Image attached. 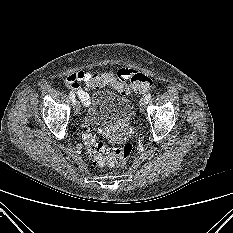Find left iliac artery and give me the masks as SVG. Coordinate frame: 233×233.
I'll use <instances>...</instances> for the list:
<instances>
[{
	"mask_svg": "<svg viewBox=\"0 0 233 233\" xmlns=\"http://www.w3.org/2000/svg\"><path fill=\"white\" fill-rule=\"evenodd\" d=\"M151 97H152V95L151 94H147L146 96H145V101H146V103H148L149 102V100L151 99Z\"/></svg>",
	"mask_w": 233,
	"mask_h": 233,
	"instance_id": "44dca946",
	"label": "left iliac artery"
}]
</instances>
